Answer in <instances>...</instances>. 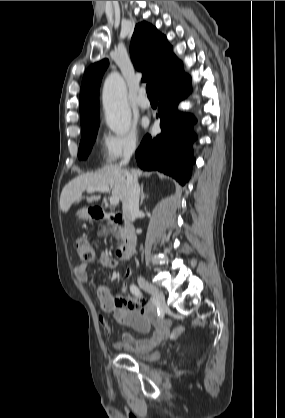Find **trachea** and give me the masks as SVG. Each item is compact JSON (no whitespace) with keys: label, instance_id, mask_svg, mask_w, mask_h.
I'll return each mask as SVG.
<instances>
[{"label":"trachea","instance_id":"trachea-1","mask_svg":"<svg viewBox=\"0 0 285 418\" xmlns=\"http://www.w3.org/2000/svg\"><path fill=\"white\" fill-rule=\"evenodd\" d=\"M147 95L149 98H157V94L153 83H148L146 86Z\"/></svg>","mask_w":285,"mask_h":418}]
</instances>
